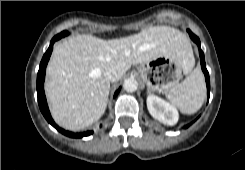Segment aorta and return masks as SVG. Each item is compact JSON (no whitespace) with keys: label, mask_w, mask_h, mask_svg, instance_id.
I'll return each mask as SVG.
<instances>
[{"label":"aorta","mask_w":245,"mask_h":170,"mask_svg":"<svg viewBox=\"0 0 245 170\" xmlns=\"http://www.w3.org/2000/svg\"><path fill=\"white\" fill-rule=\"evenodd\" d=\"M123 88L127 92H135L138 88V82L134 78H128L124 81Z\"/></svg>","instance_id":"762f6f07"}]
</instances>
